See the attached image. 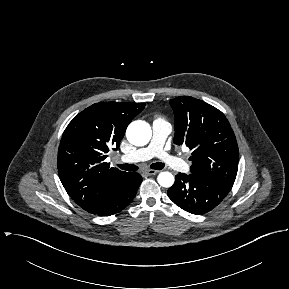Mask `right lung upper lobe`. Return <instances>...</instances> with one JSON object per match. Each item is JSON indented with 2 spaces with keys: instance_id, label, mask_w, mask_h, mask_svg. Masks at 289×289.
<instances>
[{
  "instance_id": "cb5924a9",
  "label": "right lung upper lobe",
  "mask_w": 289,
  "mask_h": 289,
  "mask_svg": "<svg viewBox=\"0 0 289 289\" xmlns=\"http://www.w3.org/2000/svg\"><path fill=\"white\" fill-rule=\"evenodd\" d=\"M144 103L99 102L80 112L60 141L57 167L69 196L84 210L111 198L130 172L105 162L109 148L117 150L126 128Z\"/></svg>"
}]
</instances>
